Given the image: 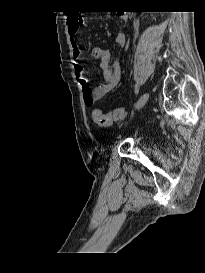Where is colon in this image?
I'll return each instance as SVG.
<instances>
[{
    "label": "colon",
    "instance_id": "colon-1",
    "mask_svg": "<svg viewBox=\"0 0 205 273\" xmlns=\"http://www.w3.org/2000/svg\"><path fill=\"white\" fill-rule=\"evenodd\" d=\"M78 23V25L81 27L82 26V20L79 17H76L75 19ZM80 22V23H79ZM127 109L125 108H117L113 111H110L108 113H104L99 109H95L93 111V119L96 124L99 126H110L114 122L119 121V120H124L127 117Z\"/></svg>",
    "mask_w": 205,
    "mask_h": 273
}]
</instances>
